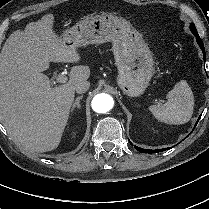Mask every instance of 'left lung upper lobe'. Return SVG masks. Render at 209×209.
<instances>
[{"instance_id": "1", "label": "left lung upper lobe", "mask_w": 209, "mask_h": 209, "mask_svg": "<svg viewBox=\"0 0 209 209\" xmlns=\"http://www.w3.org/2000/svg\"><path fill=\"white\" fill-rule=\"evenodd\" d=\"M190 30L192 31H196V27L193 23L190 24Z\"/></svg>"}]
</instances>
